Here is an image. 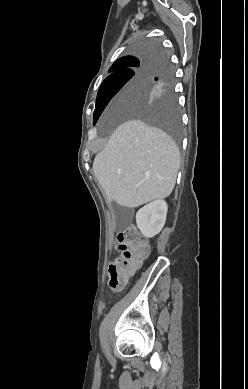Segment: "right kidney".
Wrapping results in <instances>:
<instances>
[{"label": "right kidney", "mask_w": 248, "mask_h": 389, "mask_svg": "<svg viewBox=\"0 0 248 389\" xmlns=\"http://www.w3.org/2000/svg\"><path fill=\"white\" fill-rule=\"evenodd\" d=\"M168 206L164 200H155L136 213L137 227L146 238H152L163 228Z\"/></svg>", "instance_id": "right-kidney-1"}]
</instances>
